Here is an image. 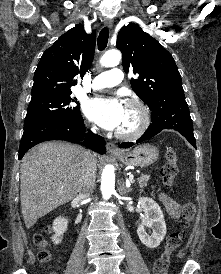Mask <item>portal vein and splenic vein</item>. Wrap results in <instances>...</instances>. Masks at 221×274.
I'll list each match as a JSON object with an SVG mask.
<instances>
[{
	"label": "portal vein and splenic vein",
	"mask_w": 221,
	"mask_h": 274,
	"mask_svg": "<svg viewBox=\"0 0 221 274\" xmlns=\"http://www.w3.org/2000/svg\"><path fill=\"white\" fill-rule=\"evenodd\" d=\"M133 178H134L133 175H130V176H129V181H130L131 183L133 182Z\"/></svg>",
	"instance_id": "1"
}]
</instances>
